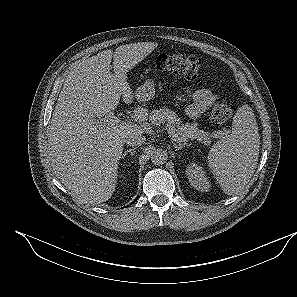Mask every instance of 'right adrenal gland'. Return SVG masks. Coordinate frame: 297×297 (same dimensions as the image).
Listing matches in <instances>:
<instances>
[{
	"instance_id": "2a0ac1e0",
	"label": "right adrenal gland",
	"mask_w": 297,
	"mask_h": 297,
	"mask_svg": "<svg viewBox=\"0 0 297 297\" xmlns=\"http://www.w3.org/2000/svg\"><path fill=\"white\" fill-rule=\"evenodd\" d=\"M136 147L135 148H133V149H129V150H126V151H124V153H123V155H122V157L121 158H125V156L127 155V154H130L131 156H134L135 155V153H136Z\"/></svg>"
}]
</instances>
